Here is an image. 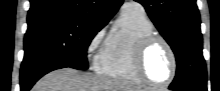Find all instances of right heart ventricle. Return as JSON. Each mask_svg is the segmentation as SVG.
<instances>
[{
  "instance_id": "1",
  "label": "right heart ventricle",
  "mask_w": 220,
  "mask_h": 91,
  "mask_svg": "<svg viewBox=\"0 0 220 91\" xmlns=\"http://www.w3.org/2000/svg\"><path fill=\"white\" fill-rule=\"evenodd\" d=\"M151 34H154V26L144 12H122L97 57L96 71L105 77L141 85L143 82L134 68V51L137 43Z\"/></svg>"
}]
</instances>
